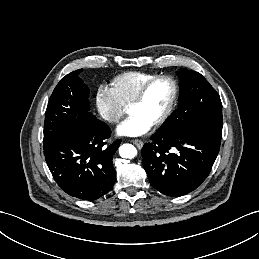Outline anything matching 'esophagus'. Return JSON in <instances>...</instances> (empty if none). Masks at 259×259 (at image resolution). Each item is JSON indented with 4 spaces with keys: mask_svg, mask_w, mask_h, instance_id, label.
<instances>
[{
    "mask_svg": "<svg viewBox=\"0 0 259 259\" xmlns=\"http://www.w3.org/2000/svg\"><path fill=\"white\" fill-rule=\"evenodd\" d=\"M131 142H132L133 144H135L138 149H141V148L143 147V144H144L141 140H138V139H136V140H131Z\"/></svg>",
    "mask_w": 259,
    "mask_h": 259,
    "instance_id": "34e87169",
    "label": "esophagus"
}]
</instances>
